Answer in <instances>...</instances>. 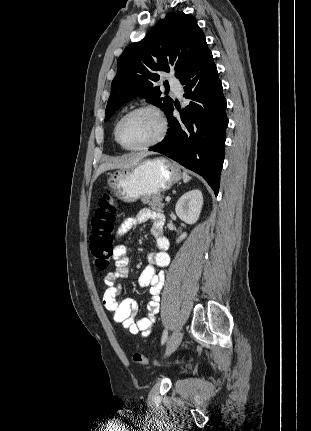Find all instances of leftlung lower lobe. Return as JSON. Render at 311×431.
Listing matches in <instances>:
<instances>
[{
    "instance_id": "obj_1",
    "label": "left lung lower lobe",
    "mask_w": 311,
    "mask_h": 431,
    "mask_svg": "<svg viewBox=\"0 0 311 431\" xmlns=\"http://www.w3.org/2000/svg\"><path fill=\"white\" fill-rule=\"evenodd\" d=\"M189 104L180 111L181 119L167 114L166 138L151 147L200 174L218 194L228 125L226 100L210 50L204 51L180 79Z\"/></svg>"
}]
</instances>
